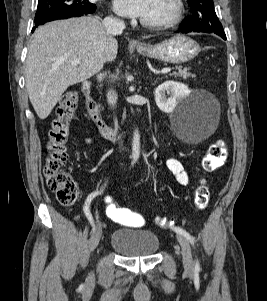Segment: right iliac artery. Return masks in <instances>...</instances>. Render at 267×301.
<instances>
[{
  "instance_id": "right-iliac-artery-1",
  "label": "right iliac artery",
  "mask_w": 267,
  "mask_h": 301,
  "mask_svg": "<svg viewBox=\"0 0 267 301\" xmlns=\"http://www.w3.org/2000/svg\"><path fill=\"white\" fill-rule=\"evenodd\" d=\"M103 193V190H100V191H95L93 192L89 197L88 199L86 200L85 202V205H84V212L90 222V224L92 225V228H93V231L95 230V223H94V219L92 217V215L90 214V211H89V205L91 203V200L97 196L98 194H102Z\"/></svg>"
}]
</instances>
